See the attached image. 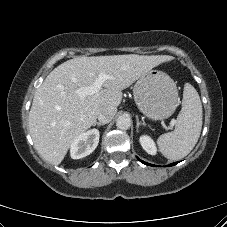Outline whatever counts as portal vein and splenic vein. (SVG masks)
I'll use <instances>...</instances> for the list:
<instances>
[{
  "instance_id": "obj_1",
  "label": "portal vein and splenic vein",
  "mask_w": 227,
  "mask_h": 227,
  "mask_svg": "<svg viewBox=\"0 0 227 227\" xmlns=\"http://www.w3.org/2000/svg\"><path fill=\"white\" fill-rule=\"evenodd\" d=\"M111 78H112L111 76L106 75L104 73L99 74L92 85H90L88 87H81L77 90L78 96L83 98L87 95H92V94L99 92L100 89L102 88L103 83L106 80L111 79ZM174 124H175V121H172L171 126L173 127Z\"/></svg>"
}]
</instances>
